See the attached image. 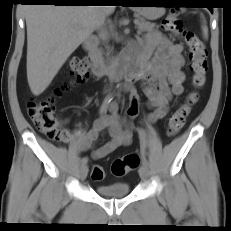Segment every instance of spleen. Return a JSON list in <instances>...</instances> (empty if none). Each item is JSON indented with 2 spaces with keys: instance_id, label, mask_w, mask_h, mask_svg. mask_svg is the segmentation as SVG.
Listing matches in <instances>:
<instances>
[{
  "instance_id": "obj_1",
  "label": "spleen",
  "mask_w": 231,
  "mask_h": 231,
  "mask_svg": "<svg viewBox=\"0 0 231 231\" xmlns=\"http://www.w3.org/2000/svg\"><path fill=\"white\" fill-rule=\"evenodd\" d=\"M202 32H203L204 38L207 39L208 38V27L205 24L202 26Z\"/></svg>"
}]
</instances>
